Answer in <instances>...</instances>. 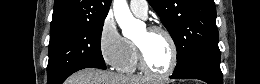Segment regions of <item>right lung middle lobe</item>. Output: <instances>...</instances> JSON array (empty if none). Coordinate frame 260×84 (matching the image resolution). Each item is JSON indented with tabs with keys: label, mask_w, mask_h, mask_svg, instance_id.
I'll list each match as a JSON object with an SVG mask.
<instances>
[{
	"label": "right lung middle lobe",
	"mask_w": 260,
	"mask_h": 84,
	"mask_svg": "<svg viewBox=\"0 0 260 84\" xmlns=\"http://www.w3.org/2000/svg\"><path fill=\"white\" fill-rule=\"evenodd\" d=\"M104 19L84 21L50 33L48 84H61L83 68L106 69L100 41Z\"/></svg>",
	"instance_id": "right-lung-middle-lobe-1"
}]
</instances>
